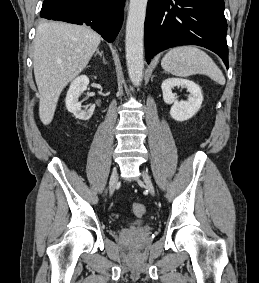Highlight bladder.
I'll use <instances>...</instances> for the list:
<instances>
[{
    "instance_id": "1",
    "label": "bladder",
    "mask_w": 259,
    "mask_h": 283,
    "mask_svg": "<svg viewBox=\"0 0 259 283\" xmlns=\"http://www.w3.org/2000/svg\"><path fill=\"white\" fill-rule=\"evenodd\" d=\"M144 222H145V220H143V219H136V220H134L131 224H132L133 226H140V225H142Z\"/></svg>"
}]
</instances>
